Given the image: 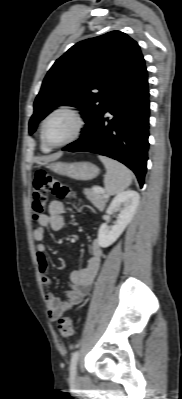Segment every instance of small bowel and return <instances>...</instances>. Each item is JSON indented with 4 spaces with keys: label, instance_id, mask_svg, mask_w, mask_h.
<instances>
[{
    "label": "small bowel",
    "instance_id": "1",
    "mask_svg": "<svg viewBox=\"0 0 182 399\" xmlns=\"http://www.w3.org/2000/svg\"><path fill=\"white\" fill-rule=\"evenodd\" d=\"M65 206L60 200H52L49 203L48 212L39 219V225L33 231V237L38 242L36 246V258L41 272V281L44 285L52 284L51 277L47 274L49 259L47 245L43 242L46 236V228L61 230L65 226ZM102 257V248L98 240L94 239L90 244V257L84 267L76 269L71 274V286L66 292V299L62 300L54 293L46 294L48 317L54 322L81 303L89 292L94 278L99 269Z\"/></svg>",
    "mask_w": 182,
    "mask_h": 399
}]
</instances>
